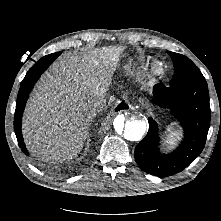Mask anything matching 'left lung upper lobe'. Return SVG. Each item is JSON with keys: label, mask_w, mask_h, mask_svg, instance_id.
<instances>
[{"label": "left lung upper lobe", "mask_w": 221, "mask_h": 221, "mask_svg": "<svg viewBox=\"0 0 221 221\" xmlns=\"http://www.w3.org/2000/svg\"><path fill=\"white\" fill-rule=\"evenodd\" d=\"M173 65L174 75L170 82L171 86L194 80H204V76L196 65L186 56L168 51Z\"/></svg>", "instance_id": "1"}]
</instances>
